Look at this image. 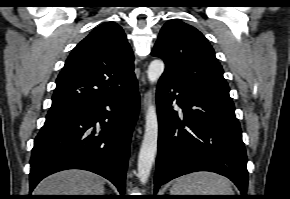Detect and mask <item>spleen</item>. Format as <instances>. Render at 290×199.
<instances>
[{"label": "spleen", "instance_id": "1", "mask_svg": "<svg viewBox=\"0 0 290 199\" xmlns=\"http://www.w3.org/2000/svg\"><path fill=\"white\" fill-rule=\"evenodd\" d=\"M171 195H234L230 181L212 172L182 176L172 186Z\"/></svg>", "mask_w": 290, "mask_h": 199}]
</instances>
